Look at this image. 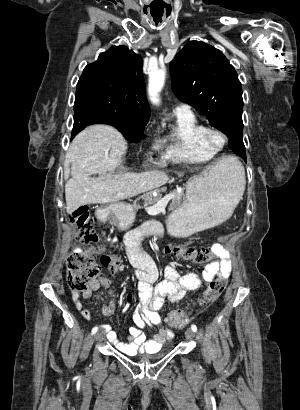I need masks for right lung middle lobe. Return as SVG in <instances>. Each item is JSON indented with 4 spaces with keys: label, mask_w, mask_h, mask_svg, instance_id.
I'll use <instances>...</instances> for the list:
<instances>
[{
    "label": "right lung middle lobe",
    "mask_w": 300,
    "mask_h": 410,
    "mask_svg": "<svg viewBox=\"0 0 300 410\" xmlns=\"http://www.w3.org/2000/svg\"><path fill=\"white\" fill-rule=\"evenodd\" d=\"M148 121L137 122L115 116L100 92L90 88L76 89L72 137L87 125L104 123L116 127L128 141L138 142Z\"/></svg>",
    "instance_id": "right-lung-middle-lobe-1"
}]
</instances>
